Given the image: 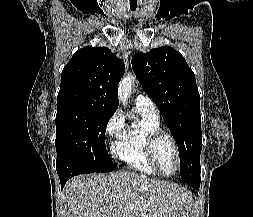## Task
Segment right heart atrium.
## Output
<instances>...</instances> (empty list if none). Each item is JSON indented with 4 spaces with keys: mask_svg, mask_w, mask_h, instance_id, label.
<instances>
[{
    "mask_svg": "<svg viewBox=\"0 0 253 217\" xmlns=\"http://www.w3.org/2000/svg\"><path fill=\"white\" fill-rule=\"evenodd\" d=\"M124 130V118L119 111H116L110 116L105 125V138L112 145H115L119 138L122 136Z\"/></svg>",
    "mask_w": 253,
    "mask_h": 217,
    "instance_id": "1",
    "label": "right heart atrium"
}]
</instances>
